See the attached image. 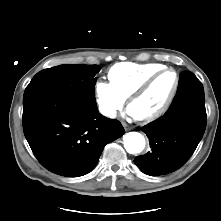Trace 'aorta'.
<instances>
[{
	"mask_svg": "<svg viewBox=\"0 0 221 221\" xmlns=\"http://www.w3.org/2000/svg\"><path fill=\"white\" fill-rule=\"evenodd\" d=\"M124 147L128 153L136 154L145 148V138L138 132H129L123 137Z\"/></svg>",
	"mask_w": 221,
	"mask_h": 221,
	"instance_id": "1",
	"label": "aorta"
}]
</instances>
